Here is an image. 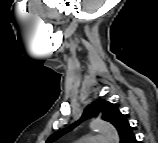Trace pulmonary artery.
<instances>
[{"label": "pulmonary artery", "mask_w": 158, "mask_h": 143, "mask_svg": "<svg viewBox=\"0 0 158 143\" xmlns=\"http://www.w3.org/2000/svg\"><path fill=\"white\" fill-rule=\"evenodd\" d=\"M84 140H85V141L92 142V141L102 140V139L94 138L93 136H86V137L84 138Z\"/></svg>", "instance_id": "1"}]
</instances>
